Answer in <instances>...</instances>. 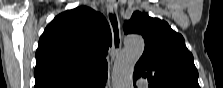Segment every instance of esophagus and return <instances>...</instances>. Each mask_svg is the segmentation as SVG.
Listing matches in <instances>:
<instances>
[{
	"mask_svg": "<svg viewBox=\"0 0 223 88\" xmlns=\"http://www.w3.org/2000/svg\"><path fill=\"white\" fill-rule=\"evenodd\" d=\"M107 20L109 22L112 33V47L110 49L111 61H114L122 45L116 0L107 1Z\"/></svg>",
	"mask_w": 223,
	"mask_h": 88,
	"instance_id": "esophagus-1",
	"label": "esophagus"
}]
</instances>
